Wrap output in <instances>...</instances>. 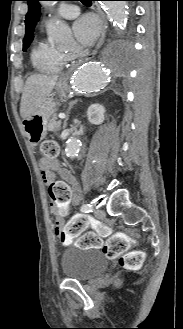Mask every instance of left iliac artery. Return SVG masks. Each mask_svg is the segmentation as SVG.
Listing matches in <instances>:
<instances>
[{
	"mask_svg": "<svg viewBox=\"0 0 183 329\" xmlns=\"http://www.w3.org/2000/svg\"><path fill=\"white\" fill-rule=\"evenodd\" d=\"M81 211L85 212V213H90V212H93V207L91 204H84L81 207Z\"/></svg>",
	"mask_w": 183,
	"mask_h": 329,
	"instance_id": "1",
	"label": "left iliac artery"
}]
</instances>
